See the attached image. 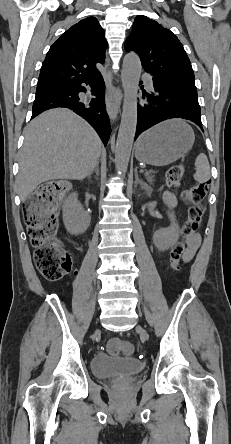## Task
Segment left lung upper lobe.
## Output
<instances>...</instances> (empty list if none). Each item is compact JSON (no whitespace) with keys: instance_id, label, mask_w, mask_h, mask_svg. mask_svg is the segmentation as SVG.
Returning <instances> with one entry per match:
<instances>
[{"instance_id":"left-lung-upper-lobe-1","label":"left lung upper lobe","mask_w":231,"mask_h":444,"mask_svg":"<svg viewBox=\"0 0 231 444\" xmlns=\"http://www.w3.org/2000/svg\"><path fill=\"white\" fill-rule=\"evenodd\" d=\"M125 49L136 52L144 70L162 84L197 94L193 69L182 44L156 21L137 16Z\"/></svg>"}]
</instances>
